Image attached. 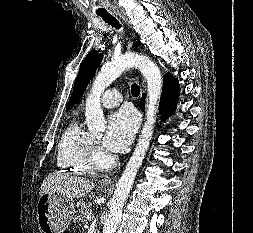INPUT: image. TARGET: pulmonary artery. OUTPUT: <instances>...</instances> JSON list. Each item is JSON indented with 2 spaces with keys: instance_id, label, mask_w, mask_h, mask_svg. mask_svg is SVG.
<instances>
[{
  "instance_id": "pulmonary-artery-1",
  "label": "pulmonary artery",
  "mask_w": 253,
  "mask_h": 233,
  "mask_svg": "<svg viewBox=\"0 0 253 233\" xmlns=\"http://www.w3.org/2000/svg\"><path fill=\"white\" fill-rule=\"evenodd\" d=\"M100 102L106 108H114L122 102V94L118 89H108L102 94Z\"/></svg>"
}]
</instances>
